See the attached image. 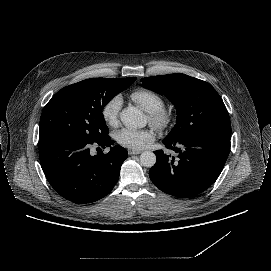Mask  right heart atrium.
<instances>
[{"mask_svg":"<svg viewBox=\"0 0 271 271\" xmlns=\"http://www.w3.org/2000/svg\"><path fill=\"white\" fill-rule=\"evenodd\" d=\"M123 104L120 93L113 95L101 107L100 114L103 121L110 127H116L119 122V113Z\"/></svg>","mask_w":271,"mask_h":271,"instance_id":"d8ad5b80","label":"right heart atrium"}]
</instances>
